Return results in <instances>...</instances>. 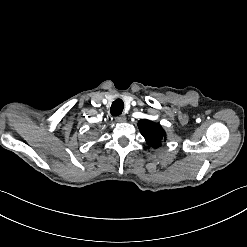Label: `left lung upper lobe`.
Masks as SVG:
<instances>
[{
	"label": "left lung upper lobe",
	"instance_id": "obj_1",
	"mask_svg": "<svg viewBox=\"0 0 247 247\" xmlns=\"http://www.w3.org/2000/svg\"><path fill=\"white\" fill-rule=\"evenodd\" d=\"M138 127L149 146L154 148L161 146V141L163 137H165V132L159 123L142 119L138 122Z\"/></svg>",
	"mask_w": 247,
	"mask_h": 247
}]
</instances>
